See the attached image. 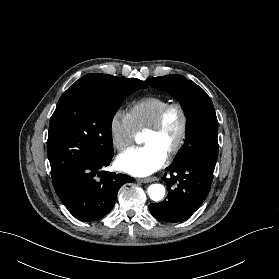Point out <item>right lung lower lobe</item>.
Segmentation results:
<instances>
[{
	"label": "right lung lower lobe",
	"mask_w": 279,
	"mask_h": 279,
	"mask_svg": "<svg viewBox=\"0 0 279 279\" xmlns=\"http://www.w3.org/2000/svg\"><path fill=\"white\" fill-rule=\"evenodd\" d=\"M112 157L82 163L52 181L61 202L79 220L91 222L103 218L113 208L120 187L134 181L123 174L101 172Z\"/></svg>",
	"instance_id": "obj_1"
}]
</instances>
